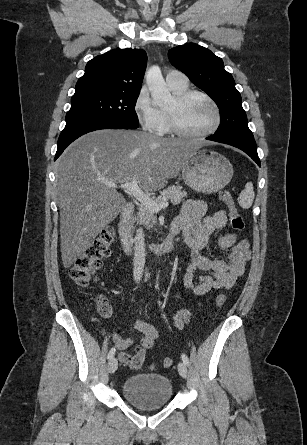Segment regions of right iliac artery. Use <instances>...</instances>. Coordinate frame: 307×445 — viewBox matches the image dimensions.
<instances>
[{
  "instance_id": "right-iliac-artery-1",
  "label": "right iliac artery",
  "mask_w": 307,
  "mask_h": 445,
  "mask_svg": "<svg viewBox=\"0 0 307 445\" xmlns=\"http://www.w3.org/2000/svg\"><path fill=\"white\" fill-rule=\"evenodd\" d=\"M115 351H116L115 347L111 348V350L108 353V360H111L114 357Z\"/></svg>"
}]
</instances>
